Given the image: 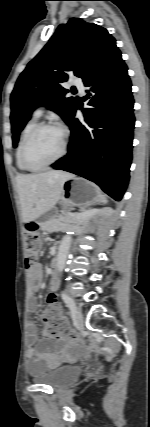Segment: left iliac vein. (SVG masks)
Instances as JSON below:
<instances>
[{"mask_svg": "<svg viewBox=\"0 0 150 427\" xmlns=\"http://www.w3.org/2000/svg\"><path fill=\"white\" fill-rule=\"evenodd\" d=\"M75 320L78 327L82 328L84 325V317L79 307H76Z\"/></svg>", "mask_w": 150, "mask_h": 427, "instance_id": "obj_1", "label": "left iliac vein"}]
</instances>
